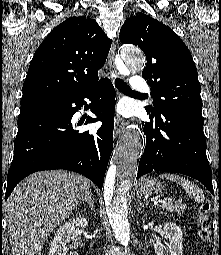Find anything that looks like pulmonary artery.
<instances>
[{
  "label": "pulmonary artery",
  "instance_id": "1",
  "mask_svg": "<svg viewBox=\"0 0 221 255\" xmlns=\"http://www.w3.org/2000/svg\"><path fill=\"white\" fill-rule=\"evenodd\" d=\"M131 88L138 94H147L150 91V85L139 75H134L131 81Z\"/></svg>",
  "mask_w": 221,
  "mask_h": 255
}]
</instances>
